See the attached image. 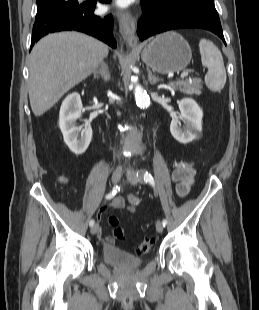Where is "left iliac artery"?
<instances>
[{
    "mask_svg": "<svg viewBox=\"0 0 259 310\" xmlns=\"http://www.w3.org/2000/svg\"><path fill=\"white\" fill-rule=\"evenodd\" d=\"M137 176L140 179H143L144 182L149 183L152 187L155 188V181H154L152 175L148 171H143V170L139 171V172H137ZM162 224H163V226L167 225V220L163 219Z\"/></svg>",
    "mask_w": 259,
    "mask_h": 310,
    "instance_id": "obj_1",
    "label": "left iliac artery"
}]
</instances>
